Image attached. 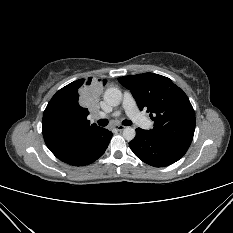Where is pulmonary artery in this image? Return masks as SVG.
I'll return each mask as SVG.
<instances>
[{"label":"pulmonary artery","instance_id":"e3ab8cb5","mask_svg":"<svg viewBox=\"0 0 233 233\" xmlns=\"http://www.w3.org/2000/svg\"><path fill=\"white\" fill-rule=\"evenodd\" d=\"M122 108L128 115V117L139 127L144 129H149L152 125V122L143 114H141L137 108L134 97L131 93L125 92L123 97ZM120 111L117 110L111 114L112 117H117L120 115ZM108 115L100 114V118H106Z\"/></svg>","mask_w":233,"mask_h":233}]
</instances>
